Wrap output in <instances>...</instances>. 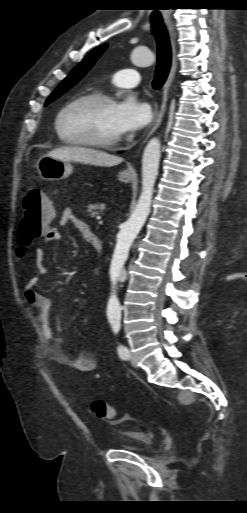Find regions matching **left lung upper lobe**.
<instances>
[{"instance_id": "1", "label": "left lung upper lobe", "mask_w": 247, "mask_h": 513, "mask_svg": "<svg viewBox=\"0 0 247 513\" xmlns=\"http://www.w3.org/2000/svg\"><path fill=\"white\" fill-rule=\"evenodd\" d=\"M107 48L106 44H103L94 50H92L83 60L80 62L71 73L64 79V81L59 85V87L51 94V96L47 99L45 105H48L56 98L65 93L68 89H70L74 84H76L89 69L94 65L97 59L102 55V53Z\"/></svg>"}]
</instances>
